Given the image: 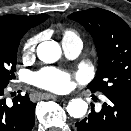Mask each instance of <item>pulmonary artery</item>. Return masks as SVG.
<instances>
[{
    "instance_id": "pulmonary-artery-1",
    "label": "pulmonary artery",
    "mask_w": 131,
    "mask_h": 131,
    "mask_svg": "<svg viewBox=\"0 0 131 131\" xmlns=\"http://www.w3.org/2000/svg\"><path fill=\"white\" fill-rule=\"evenodd\" d=\"M65 54L70 58L78 56L82 50V41L79 38L65 39L62 41Z\"/></svg>"
}]
</instances>
